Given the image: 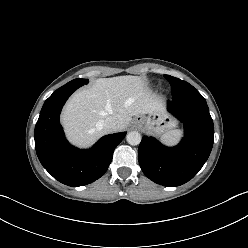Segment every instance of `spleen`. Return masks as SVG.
<instances>
[{"mask_svg":"<svg viewBox=\"0 0 248 248\" xmlns=\"http://www.w3.org/2000/svg\"><path fill=\"white\" fill-rule=\"evenodd\" d=\"M181 136H182V131L180 129H175L165 133L161 137V141L166 145H174L179 141Z\"/></svg>","mask_w":248,"mask_h":248,"instance_id":"3e777b00","label":"spleen"}]
</instances>
